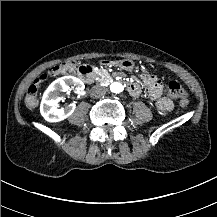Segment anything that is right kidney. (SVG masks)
Here are the masks:
<instances>
[{
  "label": "right kidney",
  "mask_w": 217,
  "mask_h": 217,
  "mask_svg": "<svg viewBox=\"0 0 217 217\" xmlns=\"http://www.w3.org/2000/svg\"><path fill=\"white\" fill-rule=\"evenodd\" d=\"M84 83L72 76H65L55 80L46 90L40 104V114L49 123H57L68 118L76 108L75 104L58 108V104L63 100V92H70L73 89L77 92L84 90Z\"/></svg>",
  "instance_id": "1"
}]
</instances>
